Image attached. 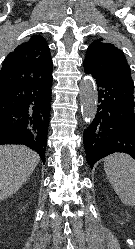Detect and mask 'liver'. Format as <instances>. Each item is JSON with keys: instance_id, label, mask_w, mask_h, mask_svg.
Returning <instances> with one entry per match:
<instances>
[{"instance_id": "6515ba94", "label": "liver", "mask_w": 135, "mask_h": 249, "mask_svg": "<svg viewBox=\"0 0 135 249\" xmlns=\"http://www.w3.org/2000/svg\"><path fill=\"white\" fill-rule=\"evenodd\" d=\"M39 160L38 154L26 146H0V201L22 187Z\"/></svg>"}]
</instances>
